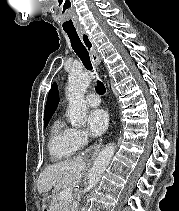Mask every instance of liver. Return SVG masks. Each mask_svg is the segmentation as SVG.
Listing matches in <instances>:
<instances>
[{
    "instance_id": "6515ba94",
    "label": "liver",
    "mask_w": 179,
    "mask_h": 211,
    "mask_svg": "<svg viewBox=\"0 0 179 211\" xmlns=\"http://www.w3.org/2000/svg\"><path fill=\"white\" fill-rule=\"evenodd\" d=\"M85 171L86 162L81 156L73 160L47 166L38 178V191L39 193H45L51 190L52 187H54V191L64 187L71 189L78 187ZM49 210L57 209L51 206Z\"/></svg>"
}]
</instances>
